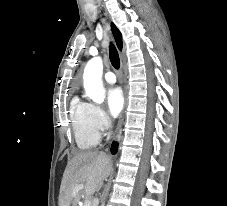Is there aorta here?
Instances as JSON below:
<instances>
[{
    "mask_svg": "<svg viewBox=\"0 0 227 206\" xmlns=\"http://www.w3.org/2000/svg\"><path fill=\"white\" fill-rule=\"evenodd\" d=\"M103 61L94 57L88 61L83 73V86L86 96L97 104L105 99V89L102 82Z\"/></svg>",
    "mask_w": 227,
    "mask_h": 206,
    "instance_id": "1",
    "label": "aorta"
}]
</instances>
